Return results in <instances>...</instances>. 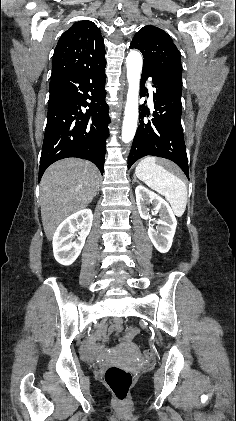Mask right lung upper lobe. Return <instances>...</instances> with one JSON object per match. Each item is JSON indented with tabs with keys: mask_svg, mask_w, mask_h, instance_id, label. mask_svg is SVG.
Masks as SVG:
<instances>
[{
	"mask_svg": "<svg viewBox=\"0 0 236 421\" xmlns=\"http://www.w3.org/2000/svg\"><path fill=\"white\" fill-rule=\"evenodd\" d=\"M105 47L91 21L76 22L60 37L53 55L51 79L104 64Z\"/></svg>",
	"mask_w": 236,
	"mask_h": 421,
	"instance_id": "obj_1",
	"label": "right lung upper lobe"
}]
</instances>
